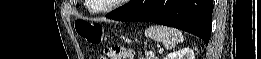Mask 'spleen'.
Returning <instances> with one entry per match:
<instances>
[{
    "label": "spleen",
    "instance_id": "spleen-1",
    "mask_svg": "<svg viewBox=\"0 0 261 59\" xmlns=\"http://www.w3.org/2000/svg\"><path fill=\"white\" fill-rule=\"evenodd\" d=\"M145 36L154 41L162 42L166 49L174 48L176 44L183 42L181 31L167 26H150L145 30Z\"/></svg>",
    "mask_w": 261,
    "mask_h": 59
}]
</instances>
